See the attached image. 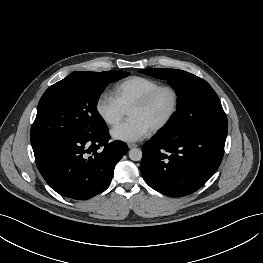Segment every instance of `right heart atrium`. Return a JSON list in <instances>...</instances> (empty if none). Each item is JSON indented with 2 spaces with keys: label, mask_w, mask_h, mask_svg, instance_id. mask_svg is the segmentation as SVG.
Returning a JSON list of instances; mask_svg holds the SVG:
<instances>
[{
  "label": "right heart atrium",
  "mask_w": 263,
  "mask_h": 263,
  "mask_svg": "<svg viewBox=\"0 0 263 263\" xmlns=\"http://www.w3.org/2000/svg\"><path fill=\"white\" fill-rule=\"evenodd\" d=\"M96 112L101 120L108 126H115L122 119L125 109L109 93H102L96 101Z\"/></svg>",
  "instance_id": "obj_1"
}]
</instances>
